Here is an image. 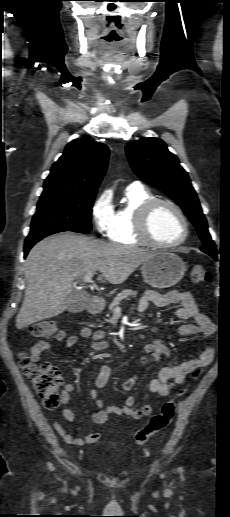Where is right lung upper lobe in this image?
Masks as SVG:
<instances>
[{"label": "right lung upper lobe", "mask_w": 230, "mask_h": 517, "mask_svg": "<svg viewBox=\"0 0 230 517\" xmlns=\"http://www.w3.org/2000/svg\"><path fill=\"white\" fill-rule=\"evenodd\" d=\"M106 145L75 139L51 168L40 197L77 193H96L108 164Z\"/></svg>", "instance_id": "right-lung-upper-lobe-1"}]
</instances>
